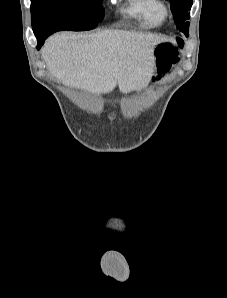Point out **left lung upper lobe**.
<instances>
[{
  "mask_svg": "<svg viewBox=\"0 0 227 298\" xmlns=\"http://www.w3.org/2000/svg\"><path fill=\"white\" fill-rule=\"evenodd\" d=\"M171 3V10L174 15L177 29L188 36L189 22L186 20L190 18V9L192 0H168Z\"/></svg>",
  "mask_w": 227,
  "mask_h": 298,
  "instance_id": "1",
  "label": "left lung upper lobe"
}]
</instances>
